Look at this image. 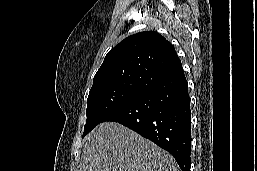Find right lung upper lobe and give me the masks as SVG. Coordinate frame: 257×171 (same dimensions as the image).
<instances>
[{
    "mask_svg": "<svg viewBox=\"0 0 257 171\" xmlns=\"http://www.w3.org/2000/svg\"><path fill=\"white\" fill-rule=\"evenodd\" d=\"M182 70L173 45L155 31L131 35L105 57L92 88L141 83L150 87Z\"/></svg>",
    "mask_w": 257,
    "mask_h": 171,
    "instance_id": "right-lung-upper-lobe-1",
    "label": "right lung upper lobe"
}]
</instances>
